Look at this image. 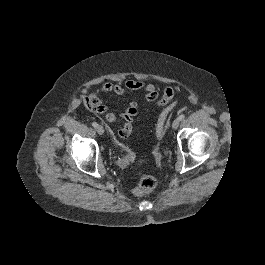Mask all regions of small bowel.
Instances as JSON below:
<instances>
[{"mask_svg":"<svg viewBox=\"0 0 265 265\" xmlns=\"http://www.w3.org/2000/svg\"><path fill=\"white\" fill-rule=\"evenodd\" d=\"M127 91H141L144 93L148 101H155L158 98V92L153 84H148L140 80L127 79L123 84L106 82L103 83L96 91H82V99L84 105L95 113L105 115L106 121L109 123L123 122V127L126 126L132 130V122L138 114V105L136 102H131L127 109L117 117L108 106L99 98V92L113 93L116 95H124ZM160 106H165L166 102L162 97L159 101Z\"/></svg>","mask_w":265,"mask_h":265,"instance_id":"c3829d8e","label":"small bowel"}]
</instances>
